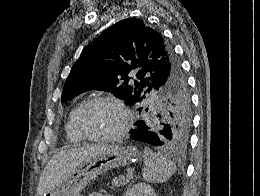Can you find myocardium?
<instances>
[{
  "label": "myocardium",
  "mask_w": 260,
  "mask_h": 196,
  "mask_svg": "<svg viewBox=\"0 0 260 196\" xmlns=\"http://www.w3.org/2000/svg\"><path fill=\"white\" fill-rule=\"evenodd\" d=\"M100 102H105L116 106L122 114V125L113 133L106 134V135H91L89 134L82 125V116L84 112L91 107L92 105ZM131 115L124 104L119 98L113 95L102 94L96 95L87 101H85L82 106L78 109L75 117V125L81 136L88 141L94 142H111L122 139L128 132L131 126Z\"/></svg>",
  "instance_id": "1"
}]
</instances>
